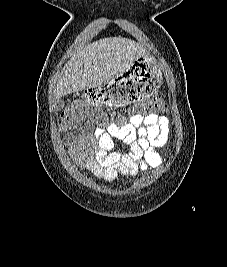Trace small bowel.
<instances>
[{
	"label": "small bowel",
	"mask_w": 227,
	"mask_h": 267,
	"mask_svg": "<svg viewBox=\"0 0 227 267\" xmlns=\"http://www.w3.org/2000/svg\"><path fill=\"white\" fill-rule=\"evenodd\" d=\"M117 117L113 110L107 125L92 128L84 124L66 139L70 159L107 183L160 167L163 157L159 149L166 145L170 134L169 120L163 115H128L123 123L116 122ZM114 139L121 140L127 151H115Z\"/></svg>",
	"instance_id": "c3829d8e"
}]
</instances>
